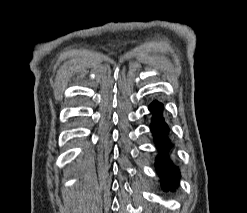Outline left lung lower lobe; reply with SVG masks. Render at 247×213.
I'll return each mask as SVG.
<instances>
[{"label": "left lung lower lobe", "instance_id": "left-lung-lower-lobe-1", "mask_svg": "<svg viewBox=\"0 0 247 213\" xmlns=\"http://www.w3.org/2000/svg\"><path fill=\"white\" fill-rule=\"evenodd\" d=\"M162 104L154 101L149 110L153 112L151 131L155 136L156 146L160 151V155L156 159V168L159 176L162 179L163 188L173 189L178 182L179 171L168 160L166 155L170 147V141L166 137L168 132V126L165 124L162 117Z\"/></svg>", "mask_w": 247, "mask_h": 213}]
</instances>
